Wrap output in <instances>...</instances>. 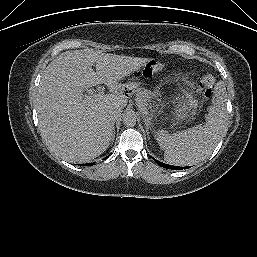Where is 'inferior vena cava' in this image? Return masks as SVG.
<instances>
[{
  "label": "inferior vena cava",
  "mask_w": 257,
  "mask_h": 257,
  "mask_svg": "<svg viewBox=\"0 0 257 257\" xmlns=\"http://www.w3.org/2000/svg\"><path fill=\"white\" fill-rule=\"evenodd\" d=\"M121 116V112L119 111H111L107 115L110 122L114 123L116 120H118Z\"/></svg>",
  "instance_id": "602c4592"
}]
</instances>
